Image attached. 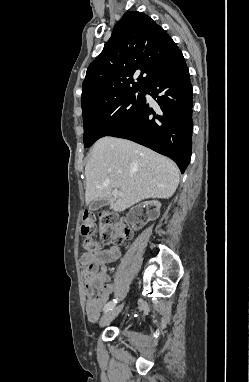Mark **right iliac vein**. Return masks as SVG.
Here are the masks:
<instances>
[{
	"instance_id": "right-iliac-vein-1",
	"label": "right iliac vein",
	"mask_w": 249,
	"mask_h": 382,
	"mask_svg": "<svg viewBox=\"0 0 249 382\" xmlns=\"http://www.w3.org/2000/svg\"><path fill=\"white\" fill-rule=\"evenodd\" d=\"M122 308H123V304L117 307H114L112 310H110L105 315H103L100 321V326L103 327L107 325L108 323H110L112 320H114L117 317V315L121 312Z\"/></svg>"
}]
</instances>
